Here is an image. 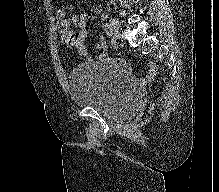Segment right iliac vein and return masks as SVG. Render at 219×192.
Here are the masks:
<instances>
[{
  "instance_id": "1",
  "label": "right iliac vein",
  "mask_w": 219,
  "mask_h": 192,
  "mask_svg": "<svg viewBox=\"0 0 219 192\" xmlns=\"http://www.w3.org/2000/svg\"><path fill=\"white\" fill-rule=\"evenodd\" d=\"M109 24H110L113 37L115 39H118L119 38V23L114 18H110Z\"/></svg>"
}]
</instances>
